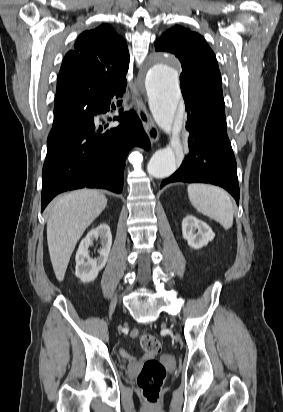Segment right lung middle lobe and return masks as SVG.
I'll list each match as a JSON object with an SVG mask.
<instances>
[{"instance_id":"dd1d6c3e","label":"right lung middle lobe","mask_w":283,"mask_h":412,"mask_svg":"<svg viewBox=\"0 0 283 412\" xmlns=\"http://www.w3.org/2000/svg\"><path fill=\"white\" fill-rule=\"evenodd\" d=\"M86 103H82V104H79V105H76V106H74L73 108H71V109H74V108H77V107H81V106H83V105H85ZM70 109V110H71ZM70 110H67V111H64V112H62V113H60V114H56V115H54L55 117H62L63 115H65L67 112H69Z\"/></svg>"}]
</instances>
